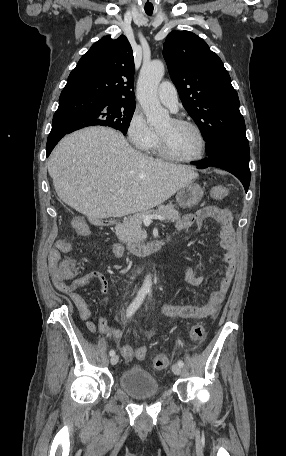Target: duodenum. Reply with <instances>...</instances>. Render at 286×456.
I'll return each mask as SVG.
<instances>
[{"instance_id":"410a0bca","label":"duodenum","mask_w":286,"mask_h":456,"mask_svg":"<svg viewBox=\"0 0 286 456\" xmlns=\"http://www.w3.org/2000/svg\"><path fill=\"white\" fill-rule=\"evenodd\" d=\"M99 223L102 226H107L110 222L106 221L104 218L99 219ZM173 242L172 238L159 239L155 241H147L142 243H133L128 246V249L131 253L144 256L153 252H158L165 249L168 245Z\"/></svg>"}]
</instances>
